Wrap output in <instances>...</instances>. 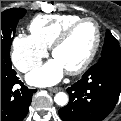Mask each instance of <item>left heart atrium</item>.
<instances>
[{
  "instance_id": "39dd6f15",
  "label": "left heart atrium",
  "mask_w": 121,
  "mask_h": 121,
  "mask_svg": "<svg viewBox=\"0 0 121 121\" xmlns=\"http://www.w3.org/2000/svg\"><path fill=\"white\" fill-rule=\"evenodd\" d=\"M65 69L60 62L54 58L42 67L34 70L27 76L30 84L35 86H50L59 82L64 75Z\"/></svg>"
}]
</instances>
